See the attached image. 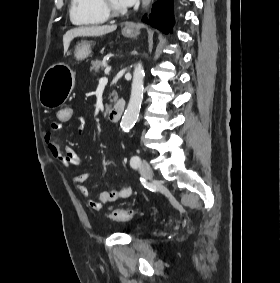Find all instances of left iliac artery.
Segmentation results:
<instances>
[{"label": "left iliac artery", "mask_w": 280, "mask_h": 283, "mask_svg": "<svg viewBox=\"0 0 280 283\" xmlns=\"http://www.w3.org/2000/svg\"><path fill=\"white\" fill-rule=\"evenodd\" d=\"M140 157L139 156H133L130 160V165L132 168L136 169L140 165Z\"/></svg>", "instance_id": "left-iliac-artery-1"}]
</instances>
